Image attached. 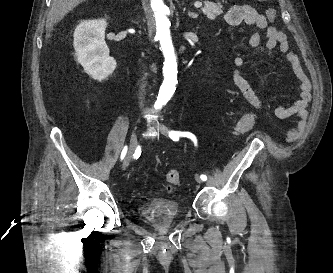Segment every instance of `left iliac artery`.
Returning <instances> with one entry per match:
<instances>
[{
    "label": "left iliac artery",
    "mask_w": 333,
    "mask_h": 273,
    "mask_svg": "<svg viewBox=\"0 0 333 273\" xmlns=\"http://www.w3.org/2000/svg\"><path fill=\"white\" fill-rule=\"evenodd\" d=\"M187 137V138H189V139H191L193 142H194V144H195V146H197V138H196V136L194 135V134H192V133H190V132H181V131H170L169 132V137L171 138V139H173V141H177V140H179V137ZM200 178L203 180V181H206L207 180V176L206 175H204V174H202L201 176H200Z\"/></svg>",
    "instance_id": "obj_1"
}]
</instances>
